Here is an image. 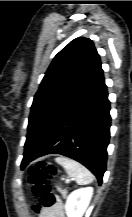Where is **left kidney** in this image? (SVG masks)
I'll return each mask as SVG.
<instances>
[{"label":"left kidney","instance_id":"1","mask_svg":"<svg viewBox=\"0 0 132 217\" xmlns=\"http://www.w3.org/2000/svg\"><path fill=\"white\" fill-rule=\"evenodd\" d=\"M93 188L86 187L73 191L67 198L65 210L68 217H82L87 209Z\"/></svg>","mask_w":132,"mask_h":217}]
</instances>
